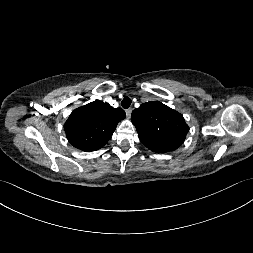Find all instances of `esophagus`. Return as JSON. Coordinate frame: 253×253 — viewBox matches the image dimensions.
Here are the masks:
<instances>
[{
    "instance_id": "34e87169",
    "label": "esophagus",
    "mask_w": 253,
    "mask_h": 253,
    "mask_svg": "<svg viewBox=\"0 0 253 253\" xmlns=\"http://www.w3.org/2000/svg\"><path fill=\"white\" fill-rule=\"evenodd\" d=\"M131 113H132V109L131 108L126 109V116H127V118H130Z\"/></svg>"
}]
</instances>
